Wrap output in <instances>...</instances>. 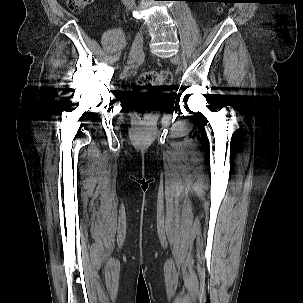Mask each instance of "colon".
<instances>
[{
  "label": "colon",
  "instance_id": "5ec220e1",
  "mask_svg": "<svg viewBox=\"0 0 303 303\" xmlns=\"http://www.w3.org/2000/svg\"><path fill=\"white\" fill-rule=\"evenodd\" d=\"M89 2L90 0H67L68 7L72 11L82 10ZM171 83L172 75L168 70L146 71L142 73L139 77L138 85L145 91L137 95L141 108H153L164 102L165 94L153 93L148 90L169 87Z\"/></svg>",
  "mask_w": 303,
  "mask_h": 303
}]
</instances>
